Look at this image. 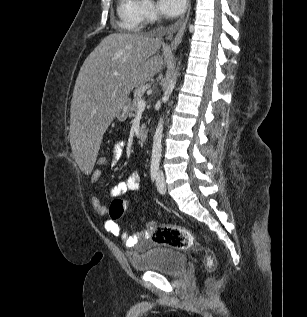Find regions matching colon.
Listing matches in <instances>:
<instances>
[{
    "instance_id": "5ec220e1",
    "label": "colon",
    "mask_w": 307,
    "mask_h": 317,
    "mask_svg": "<svg viewBox=\"0 0 307 317\" xmlns=\"http://www.w3.org/2000/svg\"><path fill=\"white\" fill-rule=\"evenodd\" d=\"M108 158L104 154H98L96 159L97 167H107ZM127 203L123 199H114L109 207V215L112 220H120L126 210ZM147 232L151 240L158 244L178 250H196L204 251L205 253V266L209 275H212L216 267V259L214 254L206 246L199 244L195 241L193 235L186 228L167 225L157 224L153 221L147 222Z\"/></svg>"
}]
</instances>
